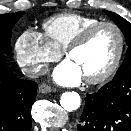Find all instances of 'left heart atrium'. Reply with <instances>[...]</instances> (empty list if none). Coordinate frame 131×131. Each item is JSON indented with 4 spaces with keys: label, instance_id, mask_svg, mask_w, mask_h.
<instances>
[{
    "label": "left heart atrium",
    "instance_id": "obj_1",
    "mask_svg": "<svg viewBox=\"0 0 131 131\" xmlns=\"http://www.w3.org/2000/svg\"><path fill=\"white\" fill-rule=\"evenodd\" d=\"M53 78L61 85L73 86L79 84L83 77L80 70L67 59L54 70Z\"/></svg>",
    "mask_w": 131,
    "mask_h": 131
}]
</instances>
